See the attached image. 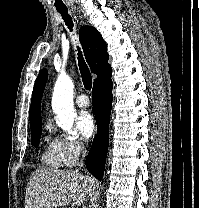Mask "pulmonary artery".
<instances>
[{
	"label": "pulmonary artery",
	"mask_w": 199,
	"mask_h": 208,
	"mask_svg": "<svg viewBox=\"0 0 199 208\" xmlns=\"http://www.w3.org/2000/svg\"><path fill=\"white\" fill-rule=\"evenodd\" d=\"M75 104L80 108H85L90 105L89 98L85 94L76 97Z\"/></svg>",
	"instance_id": "1"
}]
</instances>
